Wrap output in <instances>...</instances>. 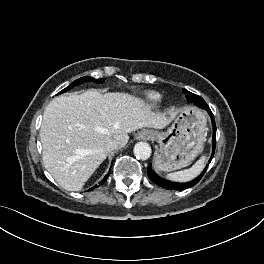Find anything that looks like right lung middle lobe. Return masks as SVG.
I'll return each mask as SVG.
<instances>
[{"label":"right lung middle lobe","mask_w":264,"mask_h":264,"mask_svg":"<svg viewBox=\"0 0 264 264\" xmlns=\"http://www.w3.org/2000/svg\"><path fill=\"white\" fill-rule=\"evenodd\" d=\"M105 80L104 79H94L92 77H82V78H79L77 80H75L73 83H71L68 87H66L65 89H63L62 91H60L58 94H61L65 91H68L70 90L71 88L77 86V85H80L84 82H94V83H103Z\"/></svg>","instance_id":"right-lung-middle-lobe-1"}]
</instances>
